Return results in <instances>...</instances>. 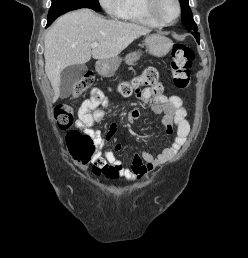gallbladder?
<instances>
[{"instance_id":"obj_1","label":"gallbladder","mask_w":248,"mask_h":258,"mask_svg":"<svg viewBox=\"0 0 248 258\" xmlns=\"http://www.w3.org/2000/svg\"><path fill=\"white\" fill-rule=\"evenodd\" d=\"M87 66L84 64L71 65L66 67L61 72L60 77V97L67 98L73 92L76 84L81 80L82 76L87 71Z\"/></svg>"}]
</instances>
